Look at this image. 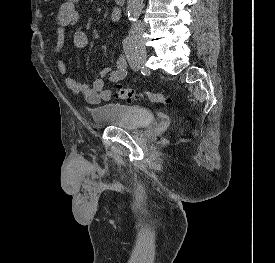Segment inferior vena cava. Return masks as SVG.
<instances>
[{
    "instance_id": "1",
    "label": "inferior vena cava",
    "mask_w": 275,
    "mask_h": 263,
    "mask_svg": "<svg viewBox=\"0 0 275 263\" xmlns=\"http://www.w3.org/2000/svg\"><path fill=\"white\" fill-rule=\"evenodd\" d=\"M144 30H145V25L142 21L139 20L133 23V26H132L133 33H142Z\"/></svg>"
}]
</instances>
